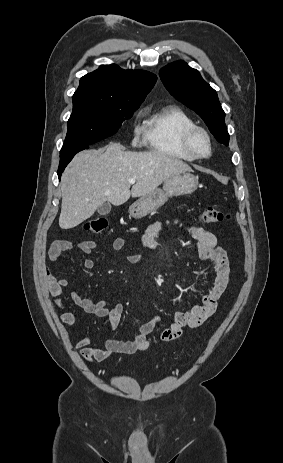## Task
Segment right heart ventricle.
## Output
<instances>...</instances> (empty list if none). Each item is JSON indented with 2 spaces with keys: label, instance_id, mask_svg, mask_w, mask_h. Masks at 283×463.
Listing matches in <instances>:
<instances>
[{
  "label": "right heart ventricle",
  "instance_id": "1",
  "mask_svg": "<svg viewBox=\"0 0 283 463\" xmlns=\"http://www.w3.org/2000/svg\"><path fill=\"white\" fill-rule=\"evenodd\" d=\"M194 125L186 111L178 106L168 105L149 114L143 128L144 141L156 154L192 161L194 157L185 149L183 137Z\"/></svg>",
  "mask_w": 283,
  "mask_h": 463
}]
</instances>
